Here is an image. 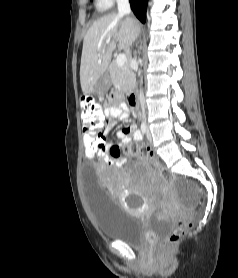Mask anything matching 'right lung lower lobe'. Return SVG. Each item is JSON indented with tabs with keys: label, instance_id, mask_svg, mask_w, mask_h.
<instances>
[{
	"label": "right lung lower lobe",
	"instance_id": "obj_1",
	"mask_svg": "<svg viewBox=\"0 0 238 278\" xmlns=\"http://www.w3.org/2000/svg\"><path fill=\"white\" fill-rule=\"evenodd\" d=\"M131 4V9L133 10L136 17L145 23L146 20V8L148 0H129Z\"/></svg>",
	"mask_w": 238,
	"mask_h": 278
}]
</instances>
